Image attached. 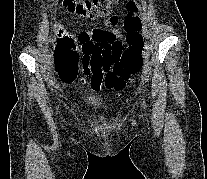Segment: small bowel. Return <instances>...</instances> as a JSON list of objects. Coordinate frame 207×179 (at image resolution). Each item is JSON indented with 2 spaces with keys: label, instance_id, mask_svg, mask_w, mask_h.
Segmentation results:
<instances>
[{
  "label": "small bowel",
  "instance_id": "obj_1",
  "mask_svg": "<svg viewBox=\"0 0 207 179\" xmlns=\"http://www.w3.org/2000/svg\"><path fill=\"white\" fill-rule=\"evenodd\" d=\"M118 20H119L118 16H112L110 19L104 21V23L108 27V31L112 32L115 35L118 34V30L116 28L117 24H118ZM98 30H100V29H94L91 31H82L79 34V40H84V39L92 36ZM98 85H99L98 83L95 84V86H98Z\"/></svg>",
  "mask_w": 207,
  "mask_h": 179
}]
</instances>
